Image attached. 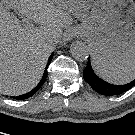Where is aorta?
<instances>
[{
	"instance_id": "1",
	"label": "aorta",
	"mask_w": 135,
	"mask_h": 135,
	"mask_svg": "<svg viewBox=\"0 0 135 135\" xmlns=\"http://www.w3.org/2000/svg\"><path fill=\"white\" fill-rule=\"evenodd\" d=\"M70 52L73 58L80 62L86 61L90 53L88 46L82 41L73 42L70 46Z\"/></svg>"
}]
</instances>
